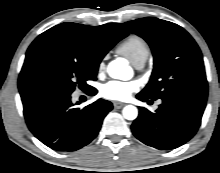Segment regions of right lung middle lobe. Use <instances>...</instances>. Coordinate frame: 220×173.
<instances>
[{"mask_svg":"<svg viewBox=\"0 0 220 173\" xmlns=\"http://www.w3.org/2000/svg\"><path fill=\"white\" fill-rule=\"evenodd\" d=\"M99 63L80 49L57 43L40 57L32 75L36 87L72 93L77 86L90 87L87 81L96 80Z\"/></svg>","mask_w":220,"mask_h":173,"instance_id":"dd1d6c3e","label":"right lung middle lobe"}]
</instances>
